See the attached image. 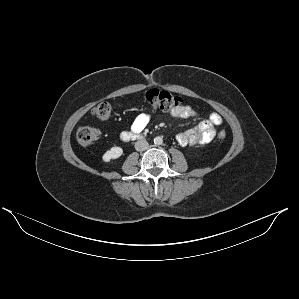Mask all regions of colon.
Segmentation results:
<instances>
[{"label": "colon", "instance_id": "5ec220e1", "mask_svg": "<svg viewBox=\"0 0 299 299\" xmlns=\"http://www.w3.org/2000/svg\"><path fill=\"white\" fill-rule=\"evenodd\" d=\"M141 102L154 110L169 111L181 104V98L169 91L160 89H150L143 93L140 98ZM112 112V105L109 101H101L92 110L95 118L101 121L109 119ZM99 138L97 128L89 125L80 126L76 131V139L79 144L88 146L93 144ZM219 140L226 138L224 131L219 132Z\"/></svg>", "mask_w": 299, "mask_h": 299}]
</instances>
